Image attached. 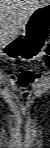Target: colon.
<instances>
[{"label":"colon","mask_w":50,"mask_h":148,"mask_svg":"<svg viewBox=\"0 0 50 148\" xmlns=\"http://www.w3.org/2000/svg\"><path fill=\"white\" fill-rule=\"evenodd\" d=\"M48 59L45 64H48ZM9 79L16 85L23 88L24 95L30 94V87L41 83L45 79V73L42 71L22 70L13 72L9 75Z\"/></svg>","instance_id":"5ec220e1"}]
</instances>
